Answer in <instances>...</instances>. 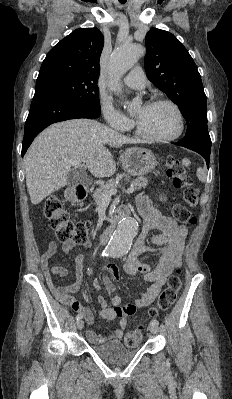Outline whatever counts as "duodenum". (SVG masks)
<instances>
[{
    "mask_svg": "<svg viewBox=\"0 0 232 399\" xmlns=\"http://www.w3.org/2000/svg\"><path fill=\"white\" fill-rule=\"evenodd\" d=\"M87 194L88 188L83 184H79L67 190L66 198L70 202H80L86 198ZM114 230L115 225H110L107 227L98 235V241L102 244L107 243L110 240Z\"/></svg>",
    "mask_w": 232,
    "mask_h": 399,
    "instance_id": "410a0bca",
    "label": "duodenum"
}]
</instances>
